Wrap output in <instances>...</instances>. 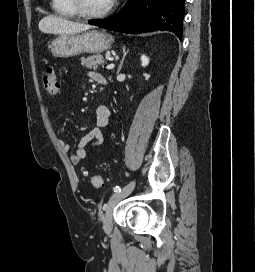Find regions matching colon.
<instances>
[{"mask_svg": "<svg viewBox=\"0 0 255 272\" xmlns=\"http://www.w3.org/2000/svg\"><path fill=\"white\" fill-rule=\"evenodd\" d=\"M42 84L44 90L51 95H56L59 92L60 80L55 68H46L45 72L42 75ZM89 179L90 183L96 188H100L104 185V178L100 175H90Z\"/></svg>", "mask_w": 255, "mask_h": 272, "instance_id": "1", "label": "colon"}]
</instances>
